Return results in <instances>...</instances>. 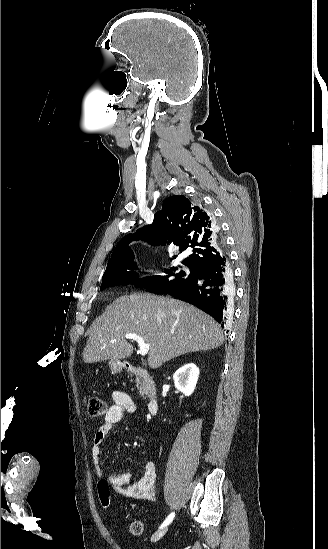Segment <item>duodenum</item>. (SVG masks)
<instances>
[{
	"instance_id": "duodenum-1",
	"label": "duodenum",
	"mask_w": 328,
	"mask_h": 549,
	"mask_svg": "<svg viewBox=\"0 0 328 549\" xmlns=\"http://www.w3.org/2000/svg\"><path fill=\"white\" fill-rule=\"evenodd\" d=\"M127 369L130 373L144 379L149 385L151 384V376H150L149 372L146 369H144L142 367H139V366H135V365H128ZM147 408H148V411L151 414H156L157 413L158 408H159V402H158V399L156 398V396L151 395L149 397L148 402H147Z\"/></svg>"
}]
</instances>
